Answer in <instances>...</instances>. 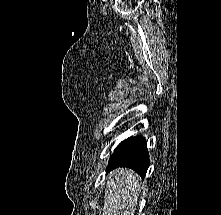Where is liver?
<instances>
[{
  "instance_id": "1",
  "label": "liver",
  "mask_w": 221,
  "mask_h": 215,
  "mask_svg": "<svg viewBox=\"0 0 221 215\" xmlns=\"http://www.w3.org/2000/svg\"><path fill=\"white\" fill-rule=\"evenodd\" d=\"M103 215H135L140 192L139 176L132 170L120 168L108 175Z\"/></svg>"
}]
</instances>
